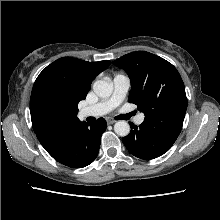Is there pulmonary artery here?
Instances as JSON below:
<instances>
[{
	"instance_id": "e3ab8cb5",
	"label": "pulmonary artery",
	"mask_w": 220,
	"mask_h": 220,
	"mask_svg": "<svg viewBox=\"0 0 220 220\" xmlns=\"http://www.w3.org/2000/svg\"><path fill=\"white\" fill-rule=\"evenodd\" d=\"M113 93L112 96L105 101L83 108L80 111L81 117H99L111 112L115 109L125 98L130 87V80L126 75L117 74L113 78ZM144 121V115L139 114L135 118L137 124Z\"/></svg>"
}]
</instances>
